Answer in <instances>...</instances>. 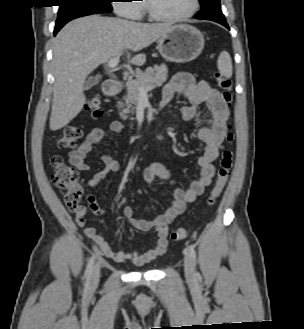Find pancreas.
<instances>
[{
	"label": "pancreas",
	"instance_id": "cf45deb5",
	"mask_svg": "<svg viewBox=\"0 0 304 329\" xmlns=\"http://www.w3.org/2000/svg\"><path fill=\"white\" fill-rule=\"evenodd\" d=\"M168 70L165 64L155 67H148L144 72L138 73L135 80L128 81L125 85L127 93L124 97V103L118 102V107L123 108L119 113L122 119H127V114L132 111L134 113L135 107L140 98L139 88L161 86L167 79Z\"/></svg>",
	"mask_w": 304,
	"mask_h": 329
}]
</instances>
